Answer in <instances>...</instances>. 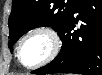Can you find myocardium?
Segmentation results:
<instances>
[{"label": "myocardium", "instance_id": "myocardium-1", "mask_svg": "<svg viewBox=\"0 0 102 75\" xmlns=\"http://www.w3.org/2000/svg\"><path fill=\"white\" fill-rule=\"evenodd\" d=\"M36 33L46 34L49 37V39L51 40L52 47H51V51L44 59H42L37 64L28 65V64H25L22 60V46L27 38H29L30 36H32L33 34H36ZM61 47H62V39H61L59 33L54 28H52L50 26H38V27H35V28L31 29L30 31H28L20 39L18 47H17L18 60H19V62H21L24 66H26L28 68H35V67L44 65V64L52 61L60 52Z\"/></svg>", "mask_w": 102, "mask_h": 75}]
</instances>
